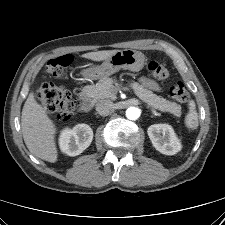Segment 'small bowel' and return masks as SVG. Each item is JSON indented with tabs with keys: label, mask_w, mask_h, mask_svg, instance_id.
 <instances>
[{
	"label": "small bowel",
	"mask_w": 225,
	"mask_h": 225,
	"mask_svg": "<svg viewBox=\"0 0 225 225\" xmlns=\"http://www.w3.org/2000/svg\"><path fill=\"white\" fill-rule=\"evenodd\" d=\"M140 81L145 87H147L151 90H155V91L159 90V85L154 80H152L150 78L141 77Z\"/></svg>",
	"instance_id": "1"
}]
</instances>
